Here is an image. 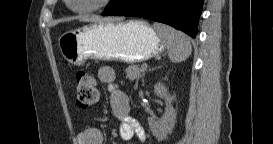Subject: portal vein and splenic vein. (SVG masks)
Segmentation results:
<instances>
[{"mask_svg": "<svg viewBox=\"0 0 273 144\" xmlns=\"http://www.w3.org/2000/svg\"><path fill=\"white\" fill-rule=\"evenodd\" d=\"M147 66H148L147 64L142 65V67L145 68V69L147 68Z\"/></svg>", "mask_w": 273, "mask_h": 144, "instance_id": "1", "label": "portal vein and splenic vein"}]
</instances>
